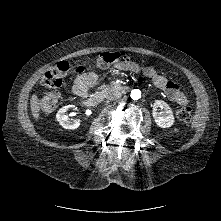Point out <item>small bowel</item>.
Listing matches in <instances>:
<instances>
[{
	"label": "small bowel",
	"mask_w": 221,
	"mask_h": 221,
	"mask_svg": "<svg viewBox=\"0 0 221 221\" xmlns=\"http://www.w3.org/2000/svg\"><path fill=\"white\" fill-rule=\"evenodd\" d=\"M118 69H129L134 72L140 71V68L135 63H130L126 67L118 65ZM142 73L144 76H146L151 80L152 84L155 87L163 91L171 101L178 103L180 105L188 103L187 97L181 91L179 86L176 83L168 80L167 78L157 73L153 68L144 67L142 69ZM96 81H97L96 74L94 73L84 74L76 80L73 87V91L76 95L80 97L88 95L89 88L93 86L96 83Z\"/></svg>",
	"instance_id": "obj_1"
}]
</instances>
